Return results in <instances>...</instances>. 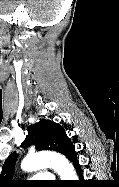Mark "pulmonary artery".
<instances>
[{
  "label": "pulmonary artery",
  "instance_id": "pulmonary-artery-1",
  "mask_svg": "<svg viewBox=\"0 0 119 187\" xmlns=\"http://www.w3.org/2000/svg\"><path fill=\"white\" fill-rule=\"evenodd\" d=\"M53 176L50 173L44 172V173H39L33 176V179H41V180H49L52 179Z\"/></svg>",
  "mask_w": 119,
  "mask_h": 187
}]
</instances>
